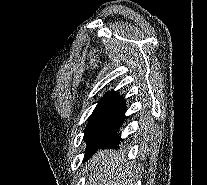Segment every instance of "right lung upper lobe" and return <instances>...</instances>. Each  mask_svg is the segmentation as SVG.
<instances>
[{"label": "right lung upper lobe", "instance_id": "cb5924a9", "mask_svg": "<svg viewBox=\"0 0 207 185\" xmlns=\"http://www.w3.org/2000/svg\"><path fill=\"white\" fill-rule=\"evenodd\" d=\"M95 110L125 112L126 105L124 100L116 91H111L106 93L104 97L98 102Z\"/></svg>", "mask_w": 207, "mask_h": 185}]
</instances>
